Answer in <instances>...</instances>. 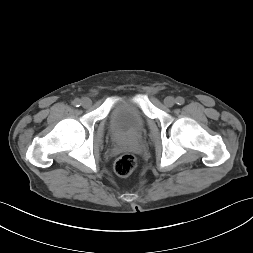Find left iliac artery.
I'll return each mask as SVG.
<instances>
[{"instance_id":"left-iliac-artery-1","label":"left iliac artery","mask_w":253,"mask_h":253,"mask_svg":"<svg viewBox=\"0 0 253 253\" xmlns=\"http://www.w3.org/2000/svg\"><path fill=\"white\" fill-rule=\"evenodd\" d=\"M184 102H185V100H184L183 97H180V96H179V97L176 98V103H177L178 105H183Z\"/></svg>"}]
</instances>
